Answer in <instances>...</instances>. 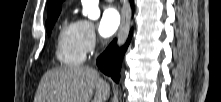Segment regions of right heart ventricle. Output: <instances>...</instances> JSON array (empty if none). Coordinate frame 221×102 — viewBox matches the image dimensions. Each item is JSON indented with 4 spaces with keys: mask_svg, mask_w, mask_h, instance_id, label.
<instances>
[{
    "mask_svg": "<svg viewBox=\"0 0 221 102\" xmlns=\"http://www.w3.org/2000/svg\"><path fill=\"white\" fill-rule=\"evenodd\" d=\"M57 59L64 65H80L85 59L81 47L76 22L64 20L59 27L56 39Z\"/></svg>",
    "mask_w": 221,
    "mask_h": 102,
    "instance_id": "right-heart-ventricle-1",
    "label": "right heart ventricle"
}]
</instances>
